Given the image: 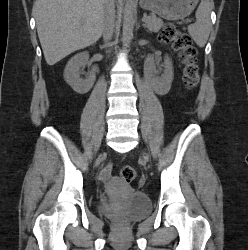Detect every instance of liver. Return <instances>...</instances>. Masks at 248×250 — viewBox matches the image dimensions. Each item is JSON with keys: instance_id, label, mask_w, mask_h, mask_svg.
<instances>
[{"instance_id": "6515ba94", "label": "liver", "mask_w": 248, "mask_h": 250, "mask_svg": "<svg viewBox=\"0 0 248 250\" xmlns=\"http://www.w3.org/2000/svg\"><path fill=\"white\" fill-rule=\"evenodd\" d=\"M106 0H36V27L46 63L92 45L103 33Z\"/></svg>"}]
</instances>
